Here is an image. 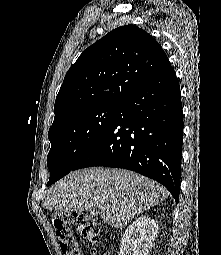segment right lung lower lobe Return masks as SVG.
I'll return each mask as SVG.
<instances>
[{
  "label": "right lung lower lobe",
  "instance_id": "1",
  "mask_svg": "<svg viewBox=\"0 0 221 255\" xmlns=\"http://www.w3.org/2000/svg\"><path fill=\"white\" fill-rule=\"evenodd\" d=\"M183 141L180 86L171 64L121 103L107 128L72 170L117 167L164 185L179 200Z\"/></svg>",
  "mask_w": 221,
  "mask_h": 255
}]
</instances>
